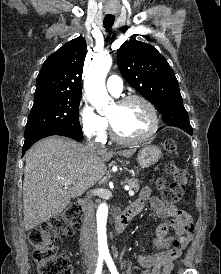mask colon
Returning <instances> with one entry per match:
<instances>
[{
  "mask_svg": "<svg viewBox=\"0 0 221 274\" xmlns=\"http://www.w3.org/2000/svg\"><path fill=\"white\" fill-rule=\"evenodd\" d=\"M164 150L169 157L166 171L172 177L167 186L163 180L158 181L163 201L166 204L177 203L185 194L188 173L177 162L179 151L176 142L168 139ZM82 208L78 203L69 205L62 214L56 216L29 232V242L33 246V259L39 274H71L70 260L56 252L54 242L70 236L81 222ZM178 240L173 241L174 248L179 247Z\"/></svg>",
  "mask_w": 221,
  "mask_h": 274,
  "instance_id": "5ec220e1",
  "label": "colon"
}]
</instances>
